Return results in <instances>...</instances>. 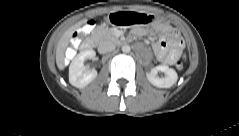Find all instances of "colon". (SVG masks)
<instances>
[{
    "label": "colon",
    "mask_w": 239,
    "mask_h": 136,
    "mask_svg": "<svg viewBox=\"0 0 239 136\" xmlns=\"http://www.w3.org/2000/svg\"><path fill=\"white\" fill-rule=\"evenodd\" d=\"M93 28V22L92 21H87L83 27V32L87 33V32H90L91 29ZM176 67L178 69H182L183 67V62L181 59L178 60L177 64H176Z\"/></svg>",
    "instance_id": "1"
}]
</instances>
